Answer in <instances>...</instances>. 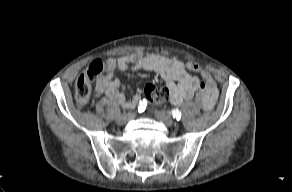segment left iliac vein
Returning a JSON list of instances; mask_svg holds the SVG:
<instances>
[{"label":"left iliac vein","mask_w":292,"mask_h":192,"mask_svg":"<svg viewBox=\"0 0 292 192\" xmlns=\"http://www.w3.org/2000/svg\"><path fill=\"white\" fill-rule=\"evenodd\" d=\"M155 116L159 121H161L168 127H172L174 125L173 120L163 112L157 111L155 112Z\"/></svg>","instance_id":"left-iliac-vein-1"}]
</instances>
